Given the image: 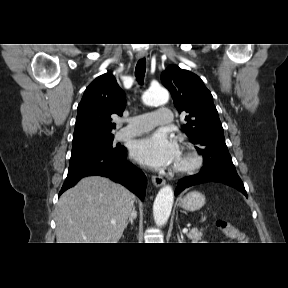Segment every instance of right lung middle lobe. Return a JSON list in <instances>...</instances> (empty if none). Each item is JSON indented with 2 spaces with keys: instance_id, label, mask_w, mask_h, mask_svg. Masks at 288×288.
Listing matches in <instances>:
<instances>
[{
  "instance_id": "dd1d6c3e",
  "label": "right lung middle lobe",
  "mask_w": 288,
  "mask_h": 288,
  "mask_svg": "<svg viewBox=\"0 0 288 288\" xmlns=\"http://www.w3.org/2000/svg\"><path fill=\"white\" fill-rule=\"evenodd\" d=\"M114 136H109L90 143L77 145L72 147L70 163L79 161L83 158L99 154H116L122 148L112 146Z\"/></svg>"
}]
</instances>
